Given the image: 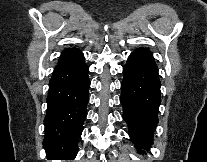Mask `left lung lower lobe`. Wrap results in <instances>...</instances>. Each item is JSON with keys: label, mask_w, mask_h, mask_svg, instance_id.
Instances as JSON below:
<instances>
[{"label": "left lung lower lobe", "mask_w": 207, "mask_h": 162, "mask_svg": "<svg viewBox=\"0 0 207 162\" xmlns=\"http://www.w3.org/2000/svg\"><path fill=\"white\" fill-rule=\"evenodd\" d=\"M121 104L123 119L139 153L153 143V132L158 123L160 80L152 53L135 50L123 68Z\"/></svg>", "instance_id": "left-lung-lower-lobe-1"}]
</instances>
